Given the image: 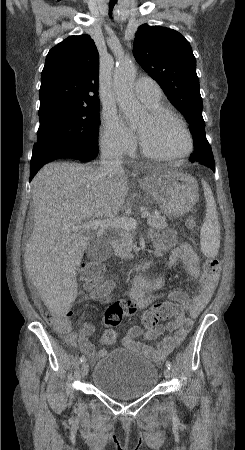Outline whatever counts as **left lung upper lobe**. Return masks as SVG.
<instances>
[{"mask_svg":"<svg viewBox=\"0 0 245 450\" xmlns=\"http://www.w3.org/2000/svg\"><path fill=\"white\" fill-rule=\"evenodd\" d=\"M133 54L141 67L161 86L169 100L185 116L194 139L195 155L209 147L202 117V98L196 74V59L189 42L177 31L160 26H139ZM201 162V161H200Z\"/></svg>","mask_w":245,"mask_h":450,"instance_id":"left-lung-upper-lobe-1","label":"left lung upper lobe"}]
</instances>
